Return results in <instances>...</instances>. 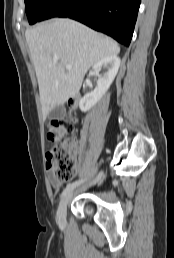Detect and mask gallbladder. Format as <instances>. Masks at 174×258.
I'll use <instances>...</instances> for the list:
<instances>
[{"instance_id": "1", "label": "gallbladder", "mask_w": 174, "mask_h": 258, "mask_svg": "<svg viewBox=\"0 0 174 258\" xmlns=\"http://www.w3.org/2000/svg\"><path fill=\"white\" fill-rule=\"evenodd\" d=\"M65 110L63 106L54 107L48 114V119H61L64 117Z\"/></svg>"}]
</instances>
